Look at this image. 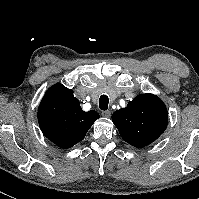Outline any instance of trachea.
Segmentation results:
<instances>
[{
    "label": "trachea",
    "mask_w": 199,
    "mask_h": 199,
    "mask_svg": "<svg viewBox=\"0 0 199 199\" xmlns=\"http://www.w3.org/2000/svg\"><path fill=\"white\" fill-rule=\"evenodd\" d=\"M109 103V98L107 95H101L99 98V108L101 110H107Z\"/></svg>",
    "instance_id": "1"
}]
</instances>
